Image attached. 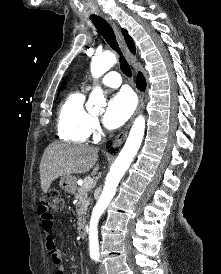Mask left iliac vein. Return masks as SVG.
<instances>
[{"mask_svg":"<svg viewBox=\"0 0 221 274\" xmlns=\"http://www.w3.org/2000/svg\"><path fill=\"white\" fill-rule=\"evenodd\" d=\"M98 274H106L105 272V268L103 265H99V268H98Z\"/></svg>","mask_w":221,"mask_h":274,"instance_id":"1","label":"left iliac vein"}]
</instances>
